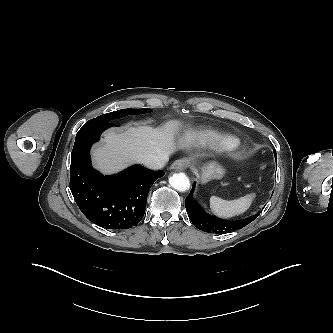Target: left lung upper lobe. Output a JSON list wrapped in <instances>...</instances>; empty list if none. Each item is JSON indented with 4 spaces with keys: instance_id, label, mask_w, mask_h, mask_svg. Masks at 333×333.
<instances>
[{
    "instance_id": "left-lung-upper-lobe-1",
    "label": "left lung upper lobe",
    "mask_w": 333,
    "mask_h": 333,
    "mask_svg": "<svg viewBox=\"0 0 333 333\" xmlns=\"http://www.w3.org/2000/svg\"><path fill=\"white\" fill-rule=\"evenodd\" d=\"M274 155H275V157H276V151L274 150Z\"/></svg>"
}]
</instances>
